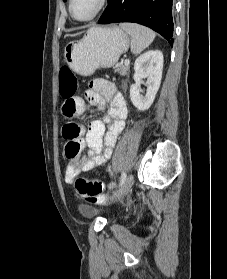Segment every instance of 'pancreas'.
Returning <instances> with one entry per match:
<instances>
[{"label": "pancreas", "mask_w": 227, "mask_h": 279, "mask_svg": "<svg viewBox=\"0 0 227 279\" xmlns=\"http://www.w3.org/2000/svg\"><path fill=\"white\" fill-rule=\"evenodd\" d=\"M129 65H125L123 63L119 64L116 71L120 73L122 76L128 75L129 72Z\"/></svg>", "instance_id": "1"}]
</instances>
